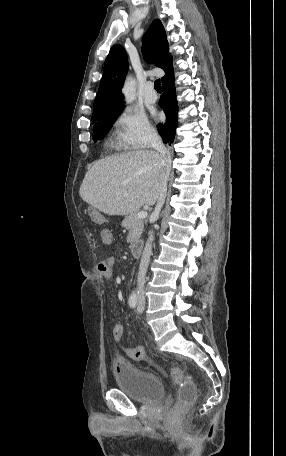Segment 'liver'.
<instances>
[{"instance_id": "obj_1", "label": "liver", "mask_w": 286, "mask_h": 456, "mask_svg": "<svg viewBox=\"0 0 286 456\" xmlns=\"http://www.w3.org/2000/svg\"><path fill=\"white\" fill-rule=\"evenodd\" d=\"M164 175L159 153L128 152L94 162L79 194L83 201L107 215H128L144 204L156 203Z\"/></svg>"}]
</instances>
